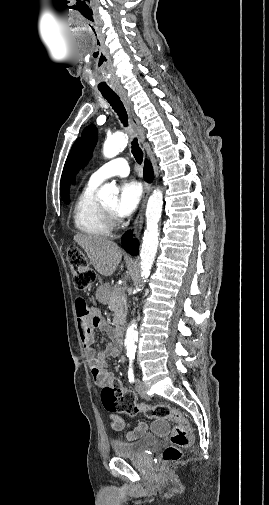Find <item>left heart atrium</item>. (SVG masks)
<instances>
[{
    "mask_svg": "<svg viewBox=\"0 0 269 505\" xmlns=\"http://www.w3.org/2000/svg\"><path fill=\"white\" fill-rule=\"evenodd\" d=\"M142 197L141 186L134 181H124L120 186L115 212L119 217L131 215L138 207Z\"/></svg>",
    "mask_w": 269,
    "mask_h": 505,
    "instance_id": "39dd6f15",
    "label": "left heart atrium"
}]
</instances>
